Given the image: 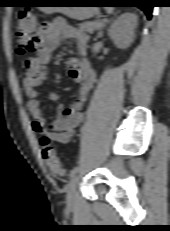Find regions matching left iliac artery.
Listing matches in <instances>:
<instances>
[{
    "mask_svg": "<svg viewBox=\"0 0 170 231\" xmlns=\"http://www.w3.org/2000/svg\"><path fill=\"white\" fill-rule=\"evenodd\" d=\"M78 167L76 166V167H73L72 169H71V171H70V177H73L77 172H78Z\"/></svg>",
    "mask_w": 170,
    "mask_h": 231,
    "instance_id": "1",
    "label": "left iliac artery"
}]
</instances>
